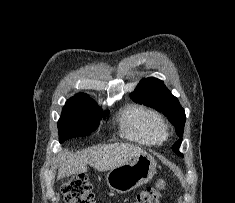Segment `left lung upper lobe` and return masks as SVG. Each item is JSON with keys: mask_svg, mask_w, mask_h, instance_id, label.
Returning <instances> with one entry per match:
<instances>
[{"mask_svg": "<svg viewBox=\"0 0 235 203\" xmlns=\"http://www.w3.org/2000/svg\"><path fill=\"white\" fill-rule=\"evenodd\" d=\"M134 101L152 107L159 112H163L175 126L177 135L183 136L185 125V111L181 107L178 99L166 88L163 81L150 77L142 80L135 90L130 94ZM182 139L175 142L172 149L175 153L182 156L178 148Z\"/></svg>", "mask_w": 235, "mask_h": 203, "instance_id": "obj_1", "label": "left lung upper lobe"}]
</instances>
